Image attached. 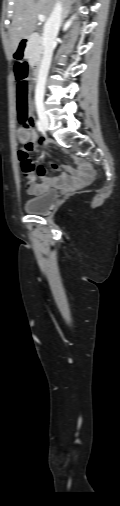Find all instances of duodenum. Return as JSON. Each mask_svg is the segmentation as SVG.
<instances>
[{
	"mask_svg": "<svg viewBox=\"0 0 120 506\" xmlns=\"http://www.w3.org/2000/svg\"><path fill=\"white\" fill-rule=\"evenodd\" d=\"M31 38H32L31 36H25L21 39L20 44L15 49L16 56L18 58H25L27 56L26 46L28 45ZM33 69H34V79L37 80L41 72V62L40 61L34 62Z\"/></svg>",
	"mask_w": 120,
	"mask_h": 506,
	"instance_id": "1",
	"label": "duodenum"
}]
</instances>
